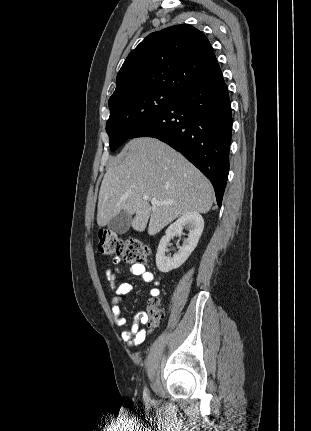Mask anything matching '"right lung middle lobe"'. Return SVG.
<instances>
[{"instance_id": "obj_1", "label": "right lung middle lobe", "mask_w": 311, "mask_h": 431, "mask_svg": "<svg viewBox=\"0 0 311 431\" xmlns=\"http://www.w3.org/2000/svg\"><path fill=\"white\" fill-rule=\"evenodd\" d=\"M178 95L161 90H140L111 98L108 102L110 117L106 123L111 150L115 151Z\"/></svg>"}]
</instances>
